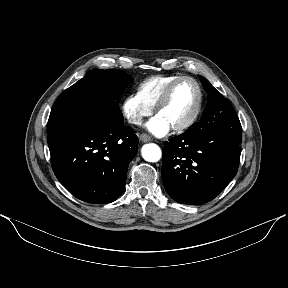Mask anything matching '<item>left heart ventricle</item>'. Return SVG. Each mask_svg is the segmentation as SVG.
Instances as JSON below:
<instances>
[{"label":"left heart ventricle","instance_id":"1","mask_svg":"<svg viewBox=\"0 0 288 288\" xmlns=\"http://www.w3.org/2000/svg\"><path fill=\"white\" fill-rule=\"evenodd\" d=\"M197 89L188 80L181 81L174 88L167 104L158 112V116L164 119L170 127L186 121L196 106Z\"/></svg>","mask_w":288,"mask_h":288}]
</instances>
